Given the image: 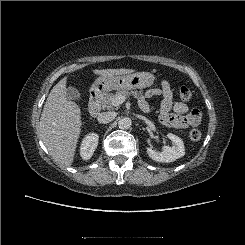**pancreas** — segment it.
<instances>
[{"label": "pancreas", "instance_id": "1", "mask_svg": "<svg viewBox=\"0 0 245 245\" xmlns=\"http://www.w3.org/2000/svg\"><path fill=\"white\" fill-rule=\"evenodd\" d=\"M129 96V95H133L136 99L140 100L143 99L142 96V92H138V91H131L129 92L128 90H118L115 93H108L104 96V98L101 100V105L103 108L106 109H112L113 108V99L117 96Z\"/></svg>", "mask_w": 245, "mask_h": 245}]
</instances>
